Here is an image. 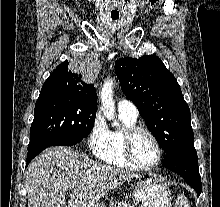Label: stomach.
<instances>
[{"label": "stomach", "mask_w": 220, "mask_h": 207, "mask_svg": "<svg viewBox=\"0 0 220 207\" xmlns=\"http://www.w3.org/2000/svg\"><path fill=\"white\" fill-rule=\"evenodd\" d=\"M133 198L139 207H169L171 192L162 178L149 176L134 187ZM94 207H103L94 205Z\"/></svg>", "instance_id": "obj_1"}]
</instances>
